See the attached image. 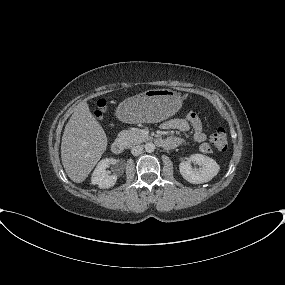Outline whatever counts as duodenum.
Here are the masks:
<instances>
[{
	"mask_svg": "<svg viewBox=\"0 0 285 285\" xmlns=\"http://www.w3.org/2000/svg\"><path fill=\"white\" fill-rule=\"evenodd\" d=\"M156 143L164 146V141L161 139H157ZM111 149L113 153L121 154L125 149V142L122 139L118 138L113 142Z\"/></svg>",
	"mask_w": 285,
	"mask_h": 285,
	"instance_id": "1",
	"label": "duodenum"
}]
</instances>
